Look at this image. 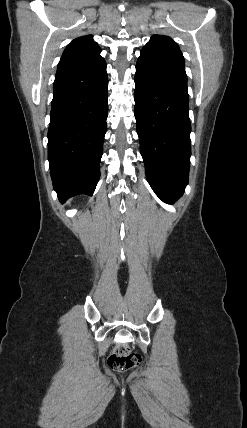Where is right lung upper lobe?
Masks as SVG:
<instances>
[{
    "instance_id": "obj_1",
    "label": "right lung upper lobe",
    "mask_w": 247,
    "mask_h": 428,
    "mask_svg": "<svg viewBox=\"0 0 247 428\" xmlns=\"http://www.w3.org/2000/svg\"><path fill=\"white\" fill-rule=\"evenodd\" d=\"M100 52L92 35L78 37L65 48L57 72L83 66L99 57Z\"/></svg>"
}]
</instances>
